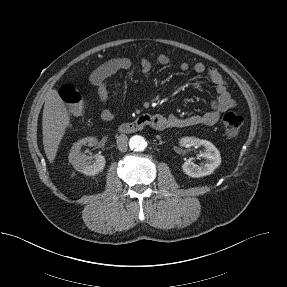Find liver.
Returning a JSON list of instances; mask_svg holds the SVG:
<instances>
[{
    "mask_svg": "<svg viewBox=\"0 0 287 287\" xmlns=\"http://www.w3.org/2000/svg\"><path fill=\"white\" fill-rule=\"evenodd\" d=\"M70 124V114L55 89L45 94L42 118L43 145L47 159L53 163L61 139Z\"/></svg>",
    "mask_w": 287,
    "mask_h": 287,
    "instance_id": "obj_1",
    "label": "liver"
}]
</instances>
